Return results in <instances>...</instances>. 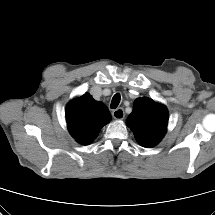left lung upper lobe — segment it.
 Here are the masks:
<instances>
[{
    "mask_svg": "<svg viewBox=\"0 0 215 215\" xmlns=\"http://www.w3.org/2000/svg\"><path fill=\"white\" fill-rule=\"evenodd\" d=\"M127 124L138 143L146 148L157 145L166 133L168 112L164 105L149 98H138L134 102Z\"/></svg>",
    "mask_w": 215,
    "mask_h": 215,
    "instance_id": "5c2ea615",
    "label": "left lung upper lobe"
}]
</instances>
